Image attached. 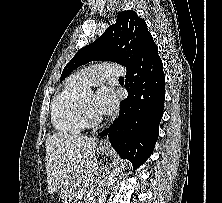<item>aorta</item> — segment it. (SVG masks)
<instances>
[{
  "mask_svg": "<svg viewBox=\"0 0 222 203\" xmlns=\"http://www.w3.org/2000/svg\"><path fill=\"white\" fill-rule=\"evenodd\" d=\"M118 170H119V166H116V168H114V170L112 171V173L106 178V181H105V183H104V187H103L102 194L100 195V198H99V203H103L104 200L106 199V196H107L110 188H111L112 185H113L114 178H115Z\"/></svg>",
  "mask_w": 222,
  "mask_h": 203,
  "instance_id": "1",
  "label": "aorta"
}]
</instances>
